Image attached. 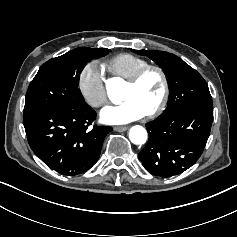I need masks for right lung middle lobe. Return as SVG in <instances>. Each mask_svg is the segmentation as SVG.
<instances>
[{
    "label": "right lung middle lobe",
    "instance_id": "dd1d6c3e",
    "mask_svg": "<svg viewBox=\"0 0 237 237\" xmlns=\"http://www.w3.org/2000/svg\"><path fill=\"white\" fill-rule=\"evenodd\" d=\"M108 52L79 47L44 63L27 90L24 116L49 107L83 104L77 89L79 75L87 62Z\"/></svg>",
    "mask_w": 237,
    "mask_h": 237
}]
</instances>
